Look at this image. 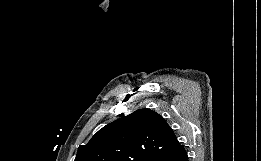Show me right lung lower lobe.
Returning <instances> with one entry per match:
<instances>
[{
    "mask_svg": "<svg viewBox=\"0 0 261 161\" xmlns=\"http://www.w3.org/2000/svg\"><path fill=\"white\" fill-rule=\"evenodd\" d=\"M153 161H188V156L184 147H182L181 149L175 152L159 156L155 158Z\"/></svg>",
    "mask_w": 261,
    "mask_h": 161,
    "instance_id": "right-lung-lower-lobe-1",
    "label": "right lung lower lobe"
}]
</instances>
